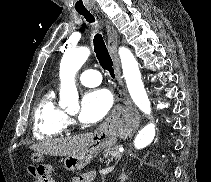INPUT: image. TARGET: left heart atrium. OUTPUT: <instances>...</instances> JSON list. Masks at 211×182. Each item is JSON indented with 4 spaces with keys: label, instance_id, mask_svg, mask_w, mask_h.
Here are the masks:
<instances>
[{
    "label": "left heart atrium",
    "instance_id": "obj_1",
    "mask_svg": "<svg viewBox=\"0 0 211 182\" xmlns=\"http://www.w3.org/2000/svg\"><path fill=\"white\" fill-rule=\"evenodd\" d=\"M113 104L111 93L106 89H96L85 93L82 99L79 119L85 124L102 120Z\"/></svg>",
    "mask_w": 211,
    "mask_h": 182
}]
</instances>
